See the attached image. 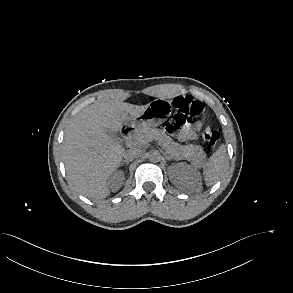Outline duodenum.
I'll return each mask as SVG.
<instances>
[{
    "label": "duodenum",
    "instance_id": "410a0bca",
    "mask_svg": "<svg viewBox=\"0 0 293 293\" xmlns=\"http://www.w3.org/2000/svg\"><path fill=\"white\" fill-rule=\"evenodd\" d=\"M133 130H134L133 127H131V126H129V125L123 127V128H122V131H121L122 136H123L124 138H128V137L130 136V134L133 132Z\"/></svg>",
    "mask_w": 293,
    "mask_h": 293
}]
</instances>
